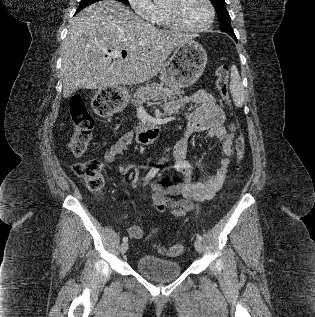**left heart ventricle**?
Instances as JSON below:
<instances>
[{"label": "left heart ventricle", "mask_w": 315, "mask_h": 317, "mask_svg": "<svg viewBox=\"0 0 315 317\" xmlns=\"http://www.w3.org/2000/svg\"><path fill=\"white\" fill-rule=\"evenodd\" d=\"M165 7H174L178 19L187 26H202L209 18V10L204 0H168Z\"/></svg>", "instance_id": "1"}]
</instances>
